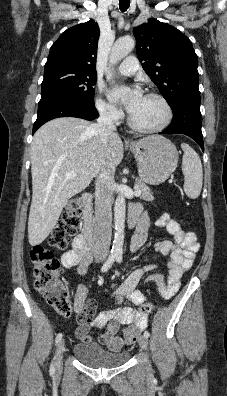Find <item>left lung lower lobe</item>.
I'll list each match as a JSON object with an SVG mask.
<instances>
[{
  "mask_svg": "<svg viewBox=\"0 0 227 396\" xmlns=\"http://www.w3.org/2000/svg\"><path fill=\"white\" fill-rule=\"evenodd\" d=\"M173 120L159 134H185L193 138L204 151L201 131L200 95L180 97L172 106Z\"/></svg>",
  "mask_w": 227,
  "mask_h": 396,
  "instance_id": "0a47b994",
  "label": "left lung lower lobe"
}]
</instances>
